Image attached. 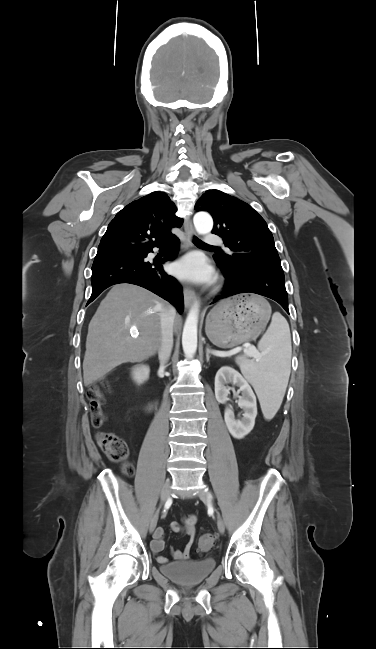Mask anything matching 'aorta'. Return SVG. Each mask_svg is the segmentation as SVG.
<instances>
[{
	"mask_svg": "<svg viewBox=\"0 0 376 649\" xmlns=\"http://www.w3.org/2000/svg\"><path fill=\"white\" fill-rule=\"evenodd\" d=\"M194 226L199 234H207L213 228V219L206 212H198L193 218ZM199 319V303L190 309L182 333V347L187 358H193L197 350V333Z\"/></svg>",
	"mask_w": 376,
	"mask_h": 649,
	"instance_id": "1",
	"label": "aorta"
}]
</instances>
